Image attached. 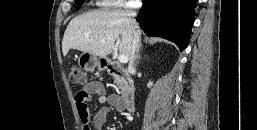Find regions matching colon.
Returning <instances> with one entry per match:
<instances>
[{
    "label": "colon",
    "mask_w": 257,
    "mask_h": 130,
    "mask_svg": "<svg viewBox=\"0 0 257 130\" xmlns=\"http://www.w3.org/2000/svg\"><path fill=\"white\" fill-rule=\"evenodd\" d=\"M70 79L75 84H83L85 82V74L80 68L73 67L70 72Z\"/></svg>",
    "instance_id": "colon-1"
}]
</instances>
